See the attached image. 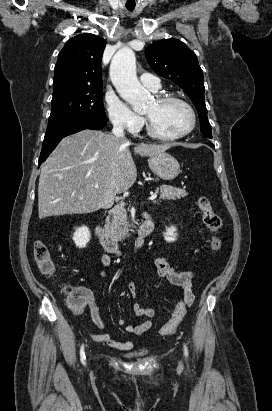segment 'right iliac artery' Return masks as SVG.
Here are the masks:
<instances>
[{
    "label": "right iliac artery",
    "instance_id": "right-iliac-artery-1",
    "mask_svg": "<svg viewBox=\"0 0 272 411\" xmlns=\"http://www.w3.org/2000/svg\"><path fill=\"white\" fill-rule=\"evenodd\" d=\"M80 359H81V363L83 365H85L86 356H85V352H84V345H82L81 349H80Z\"/></svg>",
    "mask_w": 272,
    "mask_h": 411
}]
</instances>
